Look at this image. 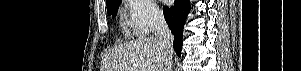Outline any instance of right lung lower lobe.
<instances>
[{
  "instance_id": "1",
  "label": "right lung lower lobe",
  "mask_w": 301,
  "mask_h": 71,
  "mask_svg": "<svg viewBox=\"0 0 301 71\" xmlns=\"http://www.w3.org/2000/svg\"><path fill=\"white\" fill-rule=\"evenodd\" d=\"M190 9L189 0H175L174 6L163 8L165 20L174 35L173 47L179 57L182 50L183 26Z\"/></svg>"
}]
</instances>
